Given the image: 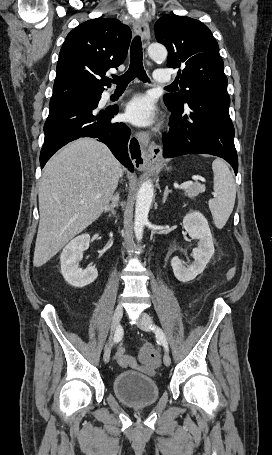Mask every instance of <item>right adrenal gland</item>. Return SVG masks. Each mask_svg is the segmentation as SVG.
<instances>
[{
	"label": "right adrenal gland",
	"instance_id": "1",
	"mask_svg": "<svg viewBox=\"0 0 272 455\" xmlns=\"http://www.w3.org/2000/svg\"><path fill=\"white\" fill-rule=\"evenodd\" d=\"M118 206H119V194L116 193L111 199V204H109L105 208V212H111V214L114 216L116 214L115 208ZM111 214H109V216H111Z\"/></svg>",
	"mask_w": 272,
	"mask_h": 455
}]
</instances>
